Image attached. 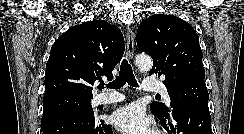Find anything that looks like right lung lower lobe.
I'll return each mask as SVG.
<instances>
[{"label":"right lung lower lobe","mask_w":244,"mask_h":134,"mask_svg":"<svg viewBox=\"0 0 244 134\" xmlns=\"http://www.w3.org/2000/svg\"><path fill=\"white\" fill-rule=\"evenodd\" d=\"M42 134H113L103 120L79 112L49 118L41 124Z\"/></svg>","instance_id":"right-lung-lower-lobe-1"}]
</instances>
